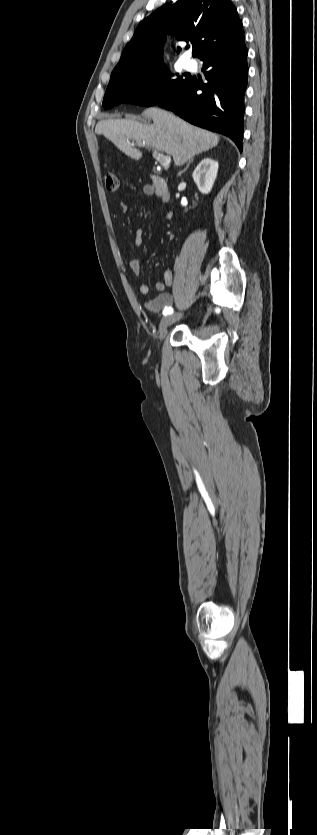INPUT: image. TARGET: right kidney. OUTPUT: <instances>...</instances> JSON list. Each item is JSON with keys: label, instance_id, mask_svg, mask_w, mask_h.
<instances>
[{"label": "right kidney", "instance_id": "obj_1", "mask_svg": "<svg viewBox=\"0 0 317 835\" xmlns=\"http://www.w3.org/2000/svg\"><path fill=\"white\" fill-rule=\"evenodd\" d=\"M218 162L211 159H203L193 172V180L203 194H208L214 184L218 172Z\"/></svg>", "mask_w": 317, "mask_h": 835}]
</instances>
